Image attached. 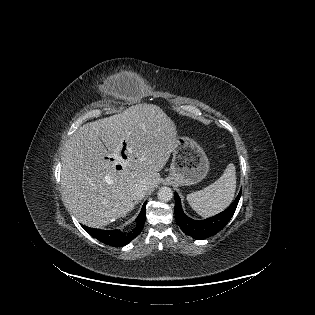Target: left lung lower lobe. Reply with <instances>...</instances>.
Wrapping results in <instances>:
<instances>
[{"label": "left lung lower lobe", "mask_w": 315, "mask_h": 315, "mask_svg": "<svg viewBox=\"0 0 315 315\" xmlns=\"http://www.w3.org/2000/svg\"><path fill=\"white\" fill-rule=\"evenodd\" d=\"M241 191L239 192L238 196L234 200V202L223 212L210 217L205 220H193L186 216L181 207V201L178 194L175 192V219L180 227V229L187 235L195 238V239H205L208 238L221 229L225 227V225L230 221L232 218L236 207L238 205Z\"/></svg>", "instance_id": "left-lung-lower-lobe-1"}]
</instances>
